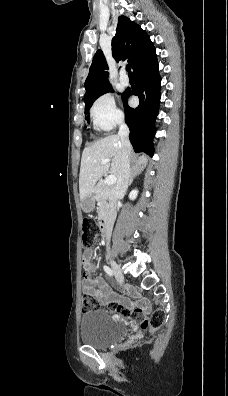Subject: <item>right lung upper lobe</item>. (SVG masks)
I'll list each match as a JSON object with an SVG mask.
<instances>
[{"label": "right lung upper lobe", "instance_id": "obj_1", "mask_svg": "<svg viewBox=\"0 0 228 396\" xmlns=\"http://www.w3.org/2000/svg\"><path fill=\"white\" fill-rule=\"evenodd\" d=\"M153 44L139 25L125 16L118 18L115 35L112 39V52L118 62L128 58L134 70L153 48ZM111 87L108 81V65L101 50L94 57L85 81V102L103 89Z\"/></svg>", "mask_w": 228, "mask_h": 396}]
</instances>
